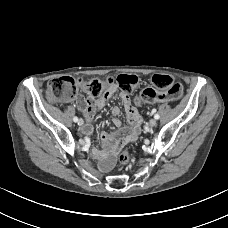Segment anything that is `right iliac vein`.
I'll return each instance as SVG.
<instances>
[{
    "label": "right iliac vein",
    "mask_w": 228,
    "mask_h": 228,
    "mask_svg": "<svg viewBox=\"0 0 228 228\" xmlns=\"http://www.w3.org/2000/svg\"><path fill=\"white\" fill-rule=\"evenodd\" d=\"M77 122H78V125H79V126H82L83 123H84L82 119H79Z\"/></svg>",
    "instance_id": "right-iliac-vein-1"
}]
</instances>
